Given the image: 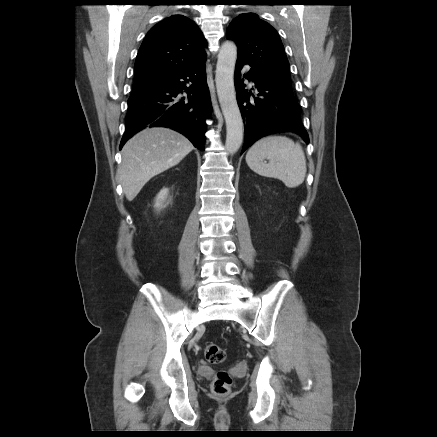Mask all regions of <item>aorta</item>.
Wrapping results in <instances>:
<instances>
[{"mask_svg": "<svg viewBox=\"0 0 437 437\" xmlns=\"http://www.w3.org/2000/svg\"><path fill=\"white\" fill-rule=\"evenodd\" d=\"M237 47L233 42L222 44L216 66V88L222 113L226 122V151L237 152L243 142V120L236 100L234 70Z\"/></svg>", "mask_w": 437, "mask_h": 437, "instance_id": "762f6f07", "label": "aorta"}]
</instances>
